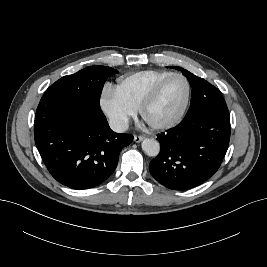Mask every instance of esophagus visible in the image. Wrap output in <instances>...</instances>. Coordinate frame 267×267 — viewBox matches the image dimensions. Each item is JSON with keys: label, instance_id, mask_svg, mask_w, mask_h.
I'll use <instances>...</instances> for the list:
<instances>
[{"label": "esophagus", "instance_id": "esophagus-1", "mask_svg": "<svg viewBox=\"0 0 267 267\" xmlns=\"http://www.w3.org/2000/svg\"><path fill=\"white\" fill-rule=\"evenodd\" d=\"M143 139H144V136H143V135H135V136H134V141H135L136 143L141 142Z\"/></svg>", "mask_w": 267, "mask_h": 267}]
</instances>
